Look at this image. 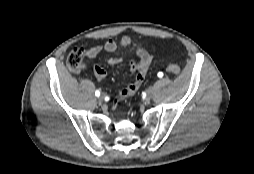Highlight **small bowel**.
Listing matches in <instances>:
<instances>
[{
	"mask_svg": "<svg viewBox=\"0 0 254 174\" xmlns=\"http://www.w3.org/2000/svg\"><path fill=\"white\" fill-rule=\"evenodd\" d=\"M125 48H133L138 59L130 63V70L135 74L134 79L117 92L115 97L116 103L133 96L137 92L147 74L152 56L144 47L133 42L129 36H123L119 42L108 40L103 44L90 47L86 51L88 58H95L102 52L113 53L118 49ZM107 62L109 65L114 66L122 63L123 58L110 57ZM93 72L98 81H103L106 78V71L99 65L94 66Z\"/></svg>",
	"mask_w": 254,
	"mask_h": 174,
	"instance_id": "c3829d8e",
	"label": "small bowel"
}]
</instances>
